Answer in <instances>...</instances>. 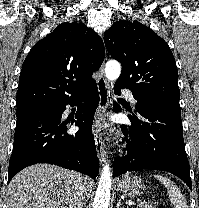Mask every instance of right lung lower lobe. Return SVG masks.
<instances>
[{"mask_svg":"<svg viewBox=\"0 0 199 208\" xmlns=\"http://www.w3.org/2000/svg\"><path fill=\"white\" fill-rule=\"evenodd\" d=\"M82 102V103H80ZM79 105L75 134L67 133L61 121L66 105ZM99 104L96 82L80 95L52 105L47 111L17 117L13 151L9 161L8 183L20 170L36 163H50L76 170L92 178L99 172L92 123Z\"/></svg>","mask_w":199,"mask_h":208,"instance_id":"right-lung-lower-lobe-1","label":"right lung lower lobe"}]
</instances>
